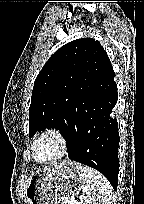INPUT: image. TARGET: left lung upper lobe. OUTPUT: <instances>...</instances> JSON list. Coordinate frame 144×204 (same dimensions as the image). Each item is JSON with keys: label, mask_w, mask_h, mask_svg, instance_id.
Instances as JSON below:
<instances>
[{"label": "left lung upper lobe", "mask_w": 144, "mask_h": 204, "mask_svg": "<svg viewBox=\"0 0 144 204\" xmlns=\"http://www.w3.org/2000/svg\"><path fill=\"white\" fill-rule=\"evenodd\" d=\"M110 62L99 41L77 39L58 49L38 74L29 108V137L55 128L66 139L76 131L86 91L99 67Z\"/></svg>", "instance_id": "1"}]
</instances>
